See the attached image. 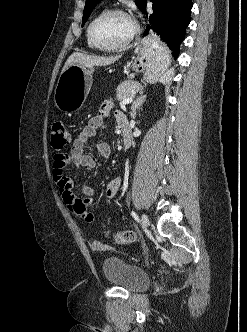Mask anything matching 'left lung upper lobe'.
I'll return each mask as SVG.
<instances>
[{
  "mask_svg": "<svg viewBox=\"0 0 247 332\" xmlns=\"http://www.w3.org/2000/svg\"><path fill=\"white\" fill-rule=\"evenodd\" d=\"M102 0H86L85 7H84V13H83V20H82V26L87 21L88 17L90 16L91 12L95 8V6ZM135 4L139 9H143V7L146 4V0H135Z\"/></svg>",
  "mask_w": 247,
  "mask_h": 332,
  "instance_id": "obj_1",
  "label": "left lung upper lobe"
}]
</instances>
